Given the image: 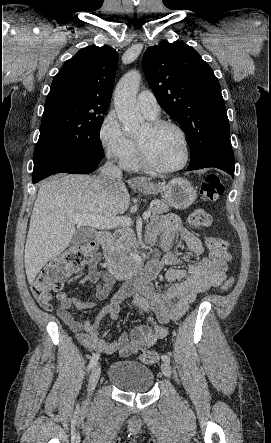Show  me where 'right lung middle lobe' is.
I'll list each match as a JSON object with an SVG mask.
<instances>
[{
    "label": "right lung middle lobe",
    "instance_id": "1",
    "mask_svg": "<svg viewBox=\"0 0 271 443\" xmlns=\"http://www.w3.org/2000/svg\"><path fill=\"white\" fill-rule=\"evenodd\" d=\"M106 111L71 101L45 104L34 162L53 151L95 153L103 158L99 130Z\"/></svg>",
    "mask_w": 271,
    "mask_h": 443
}]
</instances>
